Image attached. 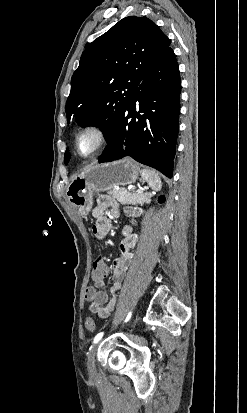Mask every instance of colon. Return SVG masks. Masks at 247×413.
<instances>
[{"label": "colon", "instance_id": "1", "mask_svg": "<svg viewBox=\"0 0 247 413\" xmlns=\"http://www.w3.org/2000/svg\"><path fill=\"white\" fill-rule=\"evenodd\" d=\"M89 275L91 277H99L100 275L106 277L109 275V268L106 263H103L101 267V260L94 259L92 260V270L89 272ZM84 326L87 331H94L95 320L92 317H86L84 319Z\"/></svg>", "mask_w": 247, "mask_h": 413}]
</instances>
